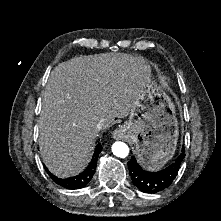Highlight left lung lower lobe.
<instances>
[{"instance_id": "0a47b994", "label": "left lung lower lobe", "mask_w": 221, "mask_h": 221, "mask_svg": "<svg viewBox=\"0 0 221 221\" xmlns=\"http://www.w3.org/2000/svg\"><path fill=\"white\" fill-rule=\"evenodd\" d=\"M184 157L185 154L182 152L172 164L157 172L143 170L135 157H132L127 164L133 184L144 193L153 194L164 190L170 186L177 176Z\"/></svg>"}]
</instances>
